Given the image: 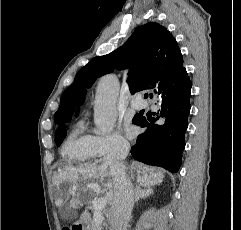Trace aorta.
I'll return each instance as SVG.
<instances>
[{
	"label": "aorta",
	"mask_w": 241,
	"mask_h": 230,
	"mask_svg": "<svg viewBox=\"0 0 241 230\" xmlns=\"http://www.w3.org/2000/svg\"><path fill=\"white\" fill-rule=\"evenodd\" d=\"M119 94V81L116 75L103 76L97 86L94 103L95 133L108 134L117 119L116 101Z\"/></svg>",
	"instance_id": "1"
}]
</instances>
